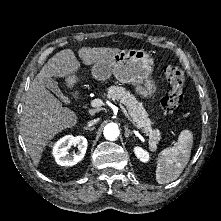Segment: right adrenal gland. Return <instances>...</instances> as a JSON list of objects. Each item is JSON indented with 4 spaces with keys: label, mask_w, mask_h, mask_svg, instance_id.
I'll return each instance as SVG.
<instances>
[{
    "label": "right adrenal gland",
    "mask_w": 221,
    "mask_h": 221,
    "mask_svg": "<svg viewBox=\"0 0 221 221\" xmlns=\"http://www.w3.org/2000/svg\"><path fill=\"white\" fill-rule=\"evenodd\" d=\"M94 129H95V127H84V130L92 131V130H94Z\"/></svg>",
    "instance_id": "1"
}]
</instances>
